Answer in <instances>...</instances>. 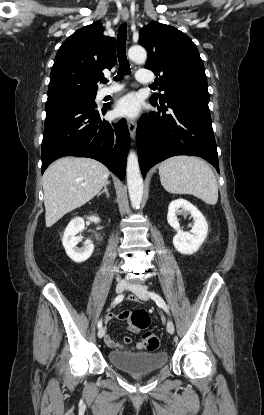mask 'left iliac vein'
Here are the masks:
<instances>
[{
    "mask_svg": "<svg viewBox=\"0 0 264 415\" xmlns=\"http://www.w3.org/2000/svg\"><path fill=\"white\" fill-rule=\"evenodd\" d=\"M128 289L132 291L138 298L141 300H148L147 288L141 284H130ZM167 331L170 334H173L175 331L174 324L172 320L168 319L166 323Z\"/></svg>",
    "mask_w": 264,
    "mask_h": 415,
    "instance_id": "1",
    "label": "left iliac vein"
}]
</instances>
